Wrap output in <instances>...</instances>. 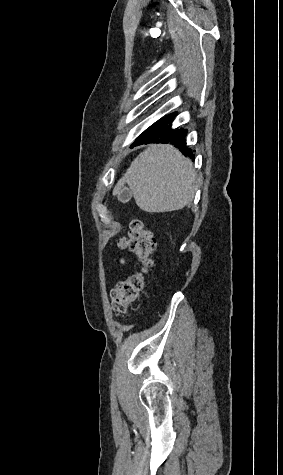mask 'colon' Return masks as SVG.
<instances>
[{"instance_id": "colon-1", "label": "colon", "mask_w": 283, "mask_h": 475, "mask_svg": "<svg viewBox=\"0 0 283 475\" xmlns=\"http://www.w3.org/2000/svg\"><path fill=\"white\" fill-rule=\"evenodd\" d=\"M154 238L144 224L139 220L131 222L128 240L120 238L118 247H128L138 261L148 264L154 252ZM144 277L142 274H130L118 280L111 291V307L116 314H126L139 299L143 289Z\"/></svg>"}]
</instances>
